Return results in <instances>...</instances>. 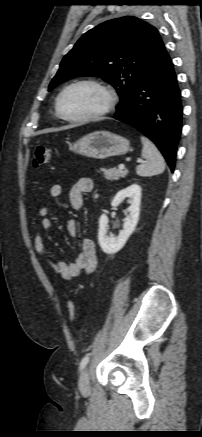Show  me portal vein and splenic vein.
Wrapping results in <instances>:
<instances>
[{
	"label": "portal vein and splenic vein",
	"instance_id": "obj_1",
	"mask_svg": "<svg viewBox=\"0 0 202 437\" xmlns=\"http://www.w3.org/2000/svg\"><path fill=\"white\" fill-rule=\"evenodd\" d=\"M138 162L140 163V162H142V160H138ZM119 169H120V170H123V169H125V166H124V164H120V165H119Z\"/></svg>",
	"mask_w": 202,
	"mask_h": 437
}]
</instances>
